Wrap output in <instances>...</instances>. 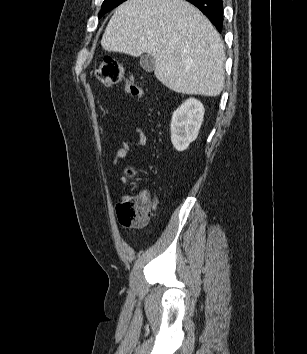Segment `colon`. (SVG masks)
<instances>
[{
  "label": "colon",
  "mask_w": 307,
  "mask_h": 354,
  "mask_svg": "<svg viewBox=\"0 0 307 354\" xmlns=\"http://www.w3.org/2000/svg\"><path fill=\"white\" fill-rule=\"evenodd\" d=\"M96 78L105 86L126 81L130 92L141 96V87L132 79L127 78L119 61L105 57L95 70ZM156 201L150 191L143 190L137 194L123 195L116 205V213L120 224L124 227L144 225L155 208Z\"/></svg>",
  "instance_id": "1"
}]
</instances>
